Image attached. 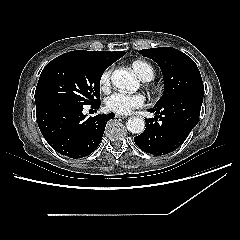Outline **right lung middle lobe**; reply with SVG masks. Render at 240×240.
<instances>
[{
  "mask_svg": "<svg viewBox=\"0 0 240 240\" xmlns=\"http://www.w3.org/2000/svg\"><path fill=\"white\" fill-rule=\"evenodd\" d=\"M108 66L80 51L64 53L43 69L35 91V103L67 98L83 105L100 100V79Z\"/></svg>",
  "mask_w": 240,
  "mask_h": 240,
  "instance_id": "right-lung-middle-lobe-1",
  "label": "right lung middle lobe"
}]
</instances>
